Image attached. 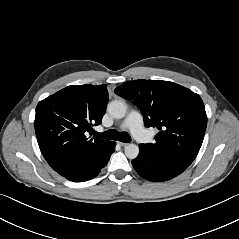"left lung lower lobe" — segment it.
<instances>
[{
    "label": "left lung lower lobe",
    "mask_w": 239,
    "mask_h": 239,
    "mask_svg": "<svg viewBox=\"0 0 239 239\" xmlns=\"http://www.w3.org/2000/svg\"><path fill=\"white\" fill-rule=\"evenodd\" d=\"M139 148V155L132 161V165L141 177L149 181L162 182L170 180L181 174L189 166L155 151L148 150L142 144L139 145Z\"/></svg>",
    "instance_id": "1"
}]
</instances>
